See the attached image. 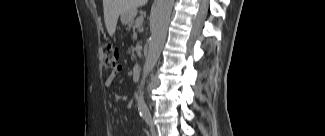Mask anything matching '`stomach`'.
Segmentation results:
<instances>
[{
    "mask_svg": "<svg viewBox=\"0 0 325 136\" xmlns=\"http://www.w3.org/2000/svg\"><path fill=\"white\" fill-rule=\"evenodd\" d=\"M137 11H130L127 13H124L121 15V21L124 24L129 23L130 21H132L134 19V17L136 16Z\"/></svg>",
    "mask_w": 325,
    "mask_h": 136,
    "instance_id": "0dacf381",
    "label": "stomach"
}]
</instances>
